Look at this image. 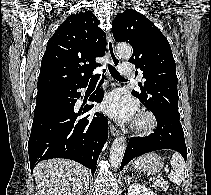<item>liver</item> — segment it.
Masks as SVG:
<instances>
[{
    "instance_id": "liver-1",
    "label": "liver",
    "mask_w": 211,
    "mask_h": 195,
    "mask_svg": "<svg viewBox=\"0 0 211 195\" xmlns=\"http://www.w3.org/2000/svg\"><path fill=\"white\" fill-rule=\"evenodd\" d=\"M34 176L40 195H83L89 185L87 168L61 158L40 162Z\"/></svg>"
}]
</instances>
